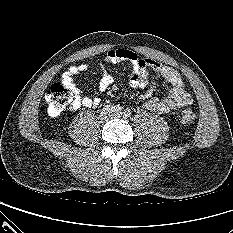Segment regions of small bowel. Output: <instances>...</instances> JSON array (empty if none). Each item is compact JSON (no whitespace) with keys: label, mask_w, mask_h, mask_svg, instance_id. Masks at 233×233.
Instances as JSON below:
<instances>
[{"label":"small bowel","mask_w":233,"mask_h":233,"mask_svg":"<svg viewBox=\"0 0 233 233\" xmlns=\"http://www.w3.org/2000/svg\"><path fill=\"white\" fill-rule=\"evenodd\" d=\"M124 61L132 65V73L128 81L131 88H145L149 84L150 72L161 76L171 85L169 97L164 99L150 98L144 103V107L147 110L159 114H166L192 104V98L185 90L184 83L174 68L149 58H142L128 49L110 50L105 57V62L109 64ZM87 69L88 66L86 64L72 66L62 76L63 84L74 94V100L71 105V108L74 110L80 107L94 108L101 103V99L98 97L83 96L81 89L74 82V77L79 73L85 72ZM111 84V76L104 74L98 84V88L101 92H105L110 88Z\"/></svg>","instance_id":"1"}]
</instances>
